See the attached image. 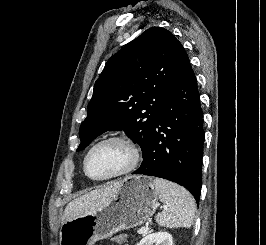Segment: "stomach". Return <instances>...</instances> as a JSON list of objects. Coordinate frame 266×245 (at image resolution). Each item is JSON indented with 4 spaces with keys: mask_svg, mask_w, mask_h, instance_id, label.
<instances>
[{
    "mask_svg": "<svg viewBox=\"0 0 266 245\" xmlns=\"http://www.w3.org/2000/svg\"><path fill=\"white\" fill-rule=\"evenodd\" d=\"M159 207L151 177L129 175L111 203L90 215L66 221L61 227L60 245H94L118 231L143 225Z\"/></svg>",
    "mask_w": 266,
    "mask_h": 245,
    "instance_id": "1",
    "label": "stomach"
}]
</instances>
